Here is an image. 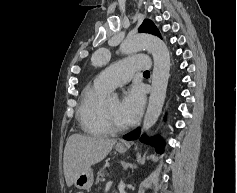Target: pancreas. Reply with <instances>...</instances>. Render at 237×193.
Listing matches in <instances>:
<instances>
[{"label":"pancreas","instance_id":"obj_1","mask_svg":"<svg viewBox=\"0 0 237 193\" xmlns=\"http://www.w3.org/2000/svg\"><path fill=\"white\" fill-rule=\"evenodd\" d=\"M105 172H106L105 167L101 168L98 171L97 178H96V183H99L102 180V178L104 177Z\"/></svg>","mask_w":237,"mask_h":193}]
</instances>
